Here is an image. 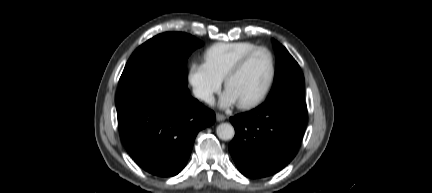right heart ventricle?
Here are the masks:
<instances>
[{"label":"right heart ventricle","mask_w":432,"mask_h":193,"mask_svg":"<svg viewBox=\"0 0 432 193\" xmlns=\"http://www.w3.org/2000/svg\"><path fill=\"white\" fill-rule=\"evenodd\" d=\"M256 46L250 41L217 43L207 49L205 62L217 77L224 80L232 66Z\"/></svg>","instance_id":"obj_1"}]
</instances>
